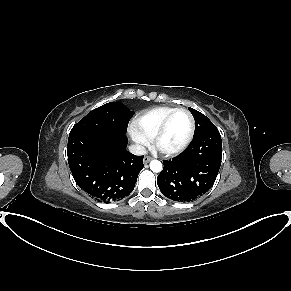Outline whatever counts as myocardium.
<instances>
[{
  "instance_id": "myocardium-1",
  "label": "myocardium",
  "mask_w": 291,
  "mask_h": 291,
  "mask_svg": "<svg viewBox=\"0 0 291 291\" xmlns=\"http://www.w3.org/2000/svg\"><path fill=\"white\" fill-rule=\"evenodd\" d=\"M179 112L186 113L190 118L189 133H188L185 141L180 146H178L176 148H173V149L163 148L161 146L162 137L164 136V134H165V132H166V130L168 128L169 122L172 119V117L175 114L179 113ZM194 132H195V119H194L193 114L187 108H176L175 110L170 112L165 117L163 122L161 123L159 129L157 130L156 134L154 135V137L152 139L153 140V145L163 155H166V156L176 155V154H179V153L183 152L190 145V143H191V141H192V139L194 137Z\"/></svg>"
}]
</instances>
